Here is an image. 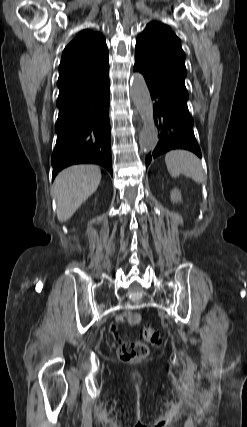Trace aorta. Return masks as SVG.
I'll return each mask as SVG.
<instances>
[{"instance_id": "obj_1", "label": "aorta", "mask_w": 247, "mask_h": 427, "mask_svg": "<svg viewBox=\"0 0 247 427\" xmlns=\"http://www.w3.org/2000/svg\"><path fill=\"white\" fill-rule=\"evenodd\" d=\"M130 94L143 122L139 136L140 148L143 152L153 151L158 142V133L153 120L150 93L142 74L134 73L132 75Z\"/></svg>"}]
</instances>
